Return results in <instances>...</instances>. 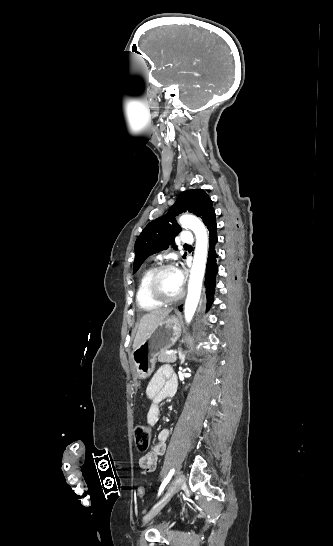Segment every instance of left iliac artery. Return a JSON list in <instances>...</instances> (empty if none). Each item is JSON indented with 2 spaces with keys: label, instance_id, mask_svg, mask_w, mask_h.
<instances>
[{
  "label": "left iliac artery",
  "instance_id": "1",
  "mask_svg": "<svg viewBox=\"0 0 333 546\" xmlns=\"http://www.w3.org/2000/svg\"><path fill=\"white\" fill-rule=\"evenodd\" d=\"M174 473V469H172L169 474L166 476V478L163 480L160 488H159V492H158V496H160L161 492L164 490L165 486L169 483L172 475Z\"/></svg>",
  "mask_w": 333,
  "mask_h": 546
}]
</instances>
